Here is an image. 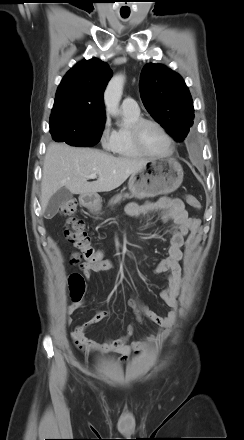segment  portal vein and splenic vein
Wrapping results in <instances>:
<instances>
[{
  "instance_id": "18ae733b",
  "label": "portal vein and splenic vein",
  "mask_w": 244,
  "mask_h": 440,
  "mask_svg": "<svg viewBox=\"0 0 244 440\" xmlns=\"http://www.w3.org/2000/svg\"><path fill=\"white\" fill-rule=\"evenodd\" d=\"M97 175L96 174H91L87 177V179H96Z\"/></svg>"
}]
</instances>
